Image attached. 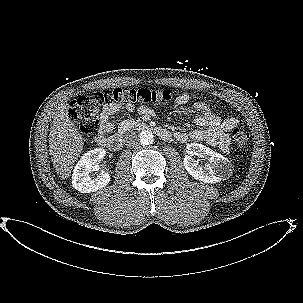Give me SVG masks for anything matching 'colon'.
Returning a JSON list of instances; mask_svg holds the SVG:
<instances>
[{
	"mask_svg": "<svg viewBox=\"0 0 303 303\" xmlns=\"http://www.w3.org/2000/svg\"><path fill=\"white\" fill-rule=\"evenodd\" d=\"M169 97L170 92L166 89L116 88L88 96H78L70 103L68 114L70 119L79 126L80 131L86 137H91L98 129V114L105 106L111 104L145 105L168 100ZM232 138L237 147L243 148L247 145L249 134L242 128H235L232 131Z\"/></svg>",
	"mask_w": 303,
	"mask_h": 303,
	"instance_id": "colon-1",
	"label": "colon"
}]
</instances>
